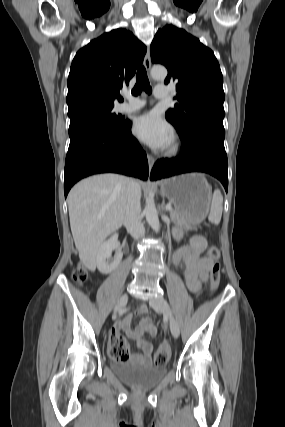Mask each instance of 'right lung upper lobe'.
<instances>
[{
  "label": "right lung upper lobe",
  "mask_w": 285,
  "mask_h": 427,
  "mask_svg": "<svg viewBox=\"0 0 285 427\" xmlns=\"http://www.w3.org/2000/svg\"><path fill=\"white\" fill-rule=\"evenodd\" d=\"M145 53L143 43L123 28L104 33L80 49L67 81L68 114L122 101L119 89L129 83Z\"/></svg>",
  "instance_id": "right-lung-upper-lobe-1"
}]
</instances>
